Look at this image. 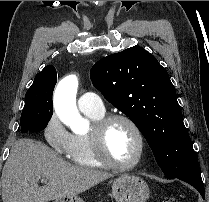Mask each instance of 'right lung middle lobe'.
Returning <instances> with one entry per match:
<instances>
[{"label":"right lung middle lobe","instance_id":"right-lung-middle-lobe-1","mask_svg":"<svg viewBox=\"0 0 209 202\" xmlns=\"http://www.w3.org/2000/svg\"><path fill=\"white\" fill-rule=\"evenodd\" d=\"M56 81L42 78L33 82L25 95L21 114V132H39L45 129L53 114L52 93Z\"/></svg>","mask_w":209,"mask_h":202}]
</instances>
